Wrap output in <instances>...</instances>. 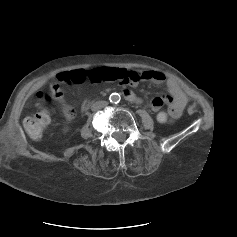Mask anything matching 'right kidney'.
Instances as JSON below:
<instances>
[{
  "instance_id": "right-kidney-1",
  "label": "right kidney",
  "mask_w": 237,
  "mask_h": 237,
  "mask_svg": "<svg viewBox=\"0 0 237 237\" xmlns=\"http://www.w3.org/2000/svg\"><path fill=\"white\" fill-rule=\"evenodd\" d=\"M69 131L68 127L64 128L63 132L67 133Z\"/></svg>"
}]
</instances>
